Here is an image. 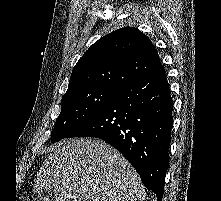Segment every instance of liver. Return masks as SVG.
<instances>
[{"mask_svg":"<svg viewBox=\"0 0 221 201\" xmlns=\"http://www.w3.org/2000/svg\"><path fill=\"white\" fill-rule=\"evenodd\" d=\"M49 190L56 201H143L145 189L132 165L98 139L55 145L37 174L34 191Z\"/></svg>","mask_w":221,"mask_h":201,"instance_id":"liver-1","label":"liver"}]
</instances>
